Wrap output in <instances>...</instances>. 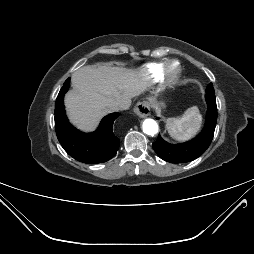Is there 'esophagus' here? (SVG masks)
<instances>
[{
  "label": "esophagus",
  "instance_id": "esophagus-1",
  "mask_svg": "<svg viewBox=\"0 0 254 254\" xmlns=\"http://www.w3.org/2000/svg\"><path fill=\"white\" fill-rule=\"evenodd\" d=\"M150 105L147 101L138 102L134 108V112L141 118H145L150 115Z\"/></svg>",
  "mask_w": 254,
  "mask_h": 254
}]
</instances>
